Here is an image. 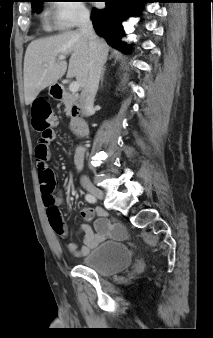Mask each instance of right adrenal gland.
I'll return each mask as SVG.
<instances>
[{
    "instance_id": "right-adrenal-gland-1",
    "label": "right adrenal gland",
    "mask_w": 213,
    "mask_h": 338,
    "mask_svg": "<svg viewBox=\"0 0 213 338\" xmlns=\"http://www.w3.org/2000/svg\"><path fill=\"white\" fill-rule=\"evenodd\" d=\"M104 72H105V68L103 69L102 74H101V85L103 84Z\"/></svg>"
}]
</instances>
